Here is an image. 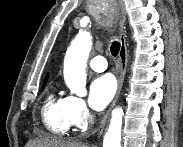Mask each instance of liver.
<instances>
[{
    "label": "liver",
    "mask_w": 183,
    "mask_h": 147,
    "mask_svg": "<svg viewBox=\"0 0 183 147\" xmlns=\"http://www.w3.org/2000/svg\"><path fill=\"white\" fill-rule=\"evenodd\" d=\"M26 147H87L85 144L66 141L57 137L43 136L29 141Z\"/></svg>",
    "instance_id": "1"
}]
</instances>
